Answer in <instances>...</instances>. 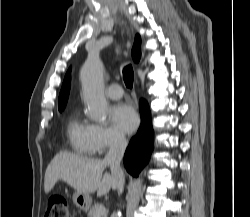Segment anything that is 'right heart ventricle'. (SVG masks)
Instances as JSON below:
<instances>
[{
    "instance_id": "e07e8e85",
    "label": "right heart ventricle",
    "mask_w": 250,
    "mask_h": 217,
    "mask_svg": "<svg viewBox=\"0 0 250 217\" xmlns=\"http://www.w3.org/2000/svg\"><path fill=\"white\" fill-rule=\"evenodd\" d=\"M66 134L73 151L82 155L92 154L90 145V124L74 111L66 125Z\"/></svg>"
}]
</instances>
